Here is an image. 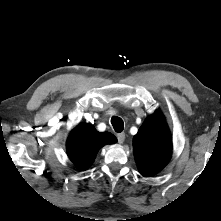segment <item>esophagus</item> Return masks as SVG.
<instances>
[{
    "label": "esophagus",
    "instance_id": "34e87169",
    "mask_svg": "<svg viewBox=\"0 0 221 221\" xmlns=\"http://www.w3.org/2000/svg\"><path fill=\"white\" fill-rule=\"evenodd\" d=\"M117 140L120 144H122L125 140V133H119L117 134Z\"/></svg>",
    "mask_w": 221,
    "mask_h": 221
}]
</instances>
